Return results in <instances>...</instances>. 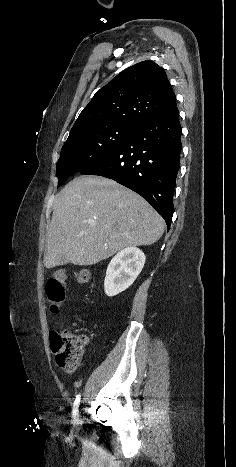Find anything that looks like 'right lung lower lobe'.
<instances>
[{"label":"right lung lower lobe","mask_w":236,"mask_h":467,"mask_svg":"<svg viewBox=\"0 0 236 467\" xmlns=\"http://www.w3.org/2000/svg\"><path fill=\"white\" fill-rule=\"evenodd\" d=\"M182 128L177 106L135 130L113 152L80 173L113 179L144 197L170 228L180 165Z\"/></svg>","instance_id":"right-lung-lower-lobe-1"}]
</instances>
